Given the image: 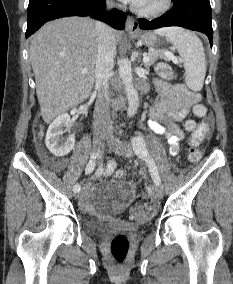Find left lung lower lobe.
Returning a JSON list of instances; mask_svg holds the SVG:
<instances>
[{
  "label": "left lung lower lobe",
  "mask_w": 233,
  "mask_h": 284,
  "mask_svg": "<svg viewBox=\"0 0 233 284\" xmlns=\"http://www.w3.org/2000/svg\"><path fill=\"white\" fill-rule=\"evenodd\" d=\"M141 29L180 26L205 33L212 47V21L209 0H174L172 9L153 21L140 18Z\"/></svg>",
  "instance_id": "left-lung-lower-lobe-1"
}]
</instances>
